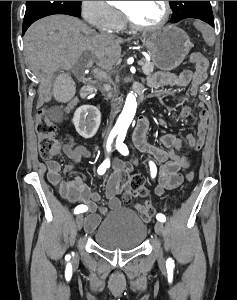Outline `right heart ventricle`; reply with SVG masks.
<instances>
[{"instance_id":"1","label":"right heart ventricle","mask_w":237,"mask_h":300,"mask_svg":"<svg viewBox=\"0 0 237 300\" xmlns=\"http://www.w3.org/2000/svg\"><path fill=\"white\" fill-rule=\"evenodd\" d=\"M124 26H125V23H124L123 19L121 18L120 28H123Z\"/></svg>"}]
</instances>
